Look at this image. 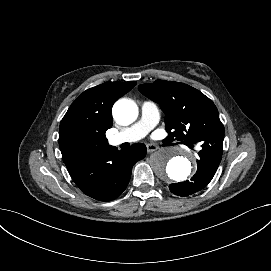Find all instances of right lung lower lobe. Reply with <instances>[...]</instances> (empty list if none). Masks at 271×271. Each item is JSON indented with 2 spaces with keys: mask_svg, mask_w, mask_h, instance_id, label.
Here are the masks:
<instances>
[{
  "mask_svg": "<svg viewBox=\"0 0 271 271\" xmlns=\"http://www.w3.org/2000/svg\"><path fill=\"white\" fill-rule=\"evenodd\" d=\"M146 152V146L141 143L121 151L108 145L68 171L84 194L108 202L123 193L129 183L133 165L143 159Z\"/></svg>",
  "mask_w": 271,
  "mask_h": 271,
  "instance_id": "1",
  "label": "right lung lower lobe"
}]
</instances>
